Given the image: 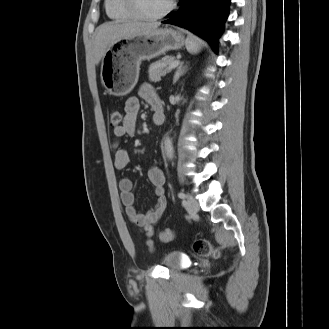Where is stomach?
<instances>
[{"label":"stomach","instance_id":"stomach-1","mask_svg":"<svg viewBox=\"0 0 329 329\" xmlns=\"http://www.w3.org/2000/svg\"><path fill=\"white\" fill-rule=\"evenodd\" d=\"M185 44L183 34L172 28L115 40L102 58L101 81L108 93L124 96L135 87L143 60H150Z\"/></svg>","mask_w":329,"mask_h":329}]
</instances>
